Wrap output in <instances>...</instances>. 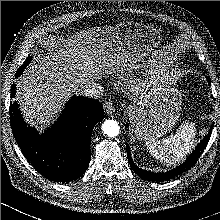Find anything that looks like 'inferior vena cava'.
I'll list each match as a JSON object with an SVG mask.
<instances>
[{
	"label": "inferior vena cava",
	"mask_w": 220,
	"mask_h": 220,
	"mask_svg": "<svg viewBox=\"0 0 220 220\" xmlns=\"http://www.w3.org/2000/svg\"><path fill=\"white\" fill-rule=\"evenodd\" d=\"M103 88L102 86H100L99 84L93 83V84H88L86 86H84L81 91L80 94L87 96V97H91V98H100L103 95Z\"/></svg>",
	"instance_id": "602c4592"
}]
</instances>
